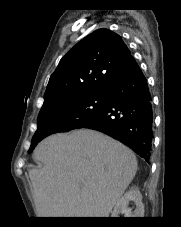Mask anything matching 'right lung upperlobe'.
I'll return each instance as SVG.
<instances>
[{
	"mask_svg": "<svg viewBox=\"0 0 181 227\" xmlns=\"http://www.w3.org/2000/svg\"><path fill=\"white\" fill-rule=\"evenodd\" d=\"M134 58L122 39L99 29L78 42L51 75L41 109L56 102L108 89L125 75Z\"/></svg>",
	"mask_w": 181,
	"mask_h": 227,
	"instance_id": "cb5924a9",
	"label": "right lung upper lobe"
}]
</instances>
